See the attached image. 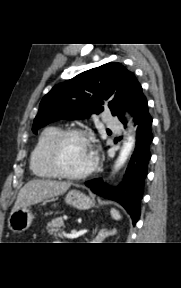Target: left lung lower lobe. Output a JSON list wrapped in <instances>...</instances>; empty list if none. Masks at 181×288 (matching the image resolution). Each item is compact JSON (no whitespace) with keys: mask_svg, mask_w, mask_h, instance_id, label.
Listing matches in <instances>:
<instances>
[{"mask_svg":"<svg viewBox=\"0 0 181 288\" xmlns=\"http://www.w3.org/2000/svg\"><path fill=\"white\" fill-rule=\"evenodd\" d=\"M129 111L137 125V140L123 182L117 188L106 186L101 179L87 181L85 185L90 187L94 193L120 203L130 214L133 225H135L140 217L144 179L147 175L148 161L151 158L149 147L153 140L152 117L148 112V103L142 88L137 92ZM121 122L126 123L124 118Z\"/></svg>","mask_w":181,"mask_h":288,"instance_id":"1","label":"left lung lower lobe"}]
</instances>
